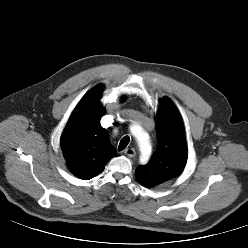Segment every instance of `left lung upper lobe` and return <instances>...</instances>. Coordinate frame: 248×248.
I'll return each mask as SVG.
<instances>
[{
  "label": "left lung upper lobe",
  "mask_w": 248,
  "mask_h": 248,
  "mask_svg": "<svg viewBox=\"0 0 248 248\" xmlns=\"http://www.w3.org/2000/svg\"><path fill=\"white\" fill-rule=\"evenodd\" d=\"M157 150L146 165L136 169L138 182L154 187L178 177L187 162V147L181 116L173 102L164 98L157 114Z\"/></svg>",
  "instance_id": "left-lung-upper-lobe-1"
}]
</instances>
